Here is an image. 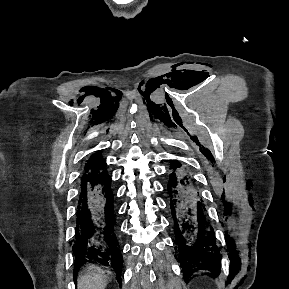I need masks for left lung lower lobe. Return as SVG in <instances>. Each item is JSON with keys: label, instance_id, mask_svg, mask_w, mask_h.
Masks as SVG:
<instances>
[{"label": "left lung lower lobe", "instance_id": "obj_1", "mask_svg": "<svg viewBox=\"0 0 289 289\" xmlns=\"http://www.w3.org/2000/svg\"><path fill=\"white\" fill-rule=\"evenodd\" d=\"M167 192L175 227V249L179 250L185 280L197 269L219 273V250L205 216V205L193 178L177 160L170 164Z\"/></svg>", "mask_w": 289, "mask_h": 289}]
</instances>
